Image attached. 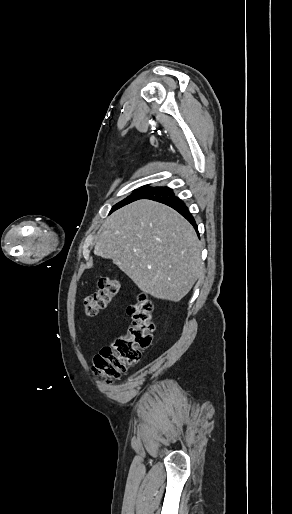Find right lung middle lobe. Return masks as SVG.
I'll return each mask as SVG.
<instances>
[{"label":"right lung middle lobe","instance_id":"obj_1","mask_svg":"<svg viewBox=\"0 0 292 514\" xmlns=\"http://www.w3.org/2000/svg\"><path fill=\"white\" fill-rule=\"evenodd\" d=\"M151 189H153V187H150L149 185H145L142 188H140L139 190H135L130 196H128L127 198L123 199L122 201H120L116 205H114L111 212H113L114 210H116L122 206H125L133 201L143 198V196H145Z\"/></svg>","mask_w":292,"mask_h":514}]
</instances>
